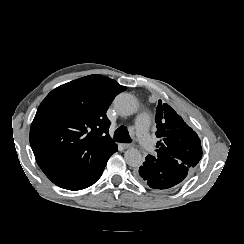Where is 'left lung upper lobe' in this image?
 Instances as JSON below:
<instances>
[{
    "instance_id": "5c2ea615",
    "label": "left lung upper lobe",
    "mask_w": 244,
    "mask_h": 244,
    "mask_svg": "<svg viewBox=\"0 0 244 244\" xmlns=\"http://www.w3.org/2000/svg\"><path fill=\"white\" fill-rule=\"evenodd\" d=\"M157 156H168L178 164L193 168L202 157L200 139L174 109L168 104L158 101L156 108Z\"/></svg>"
}]
</instances>
